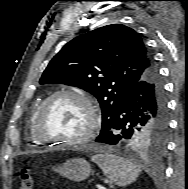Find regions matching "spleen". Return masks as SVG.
<instances>
[{"mask_svg": "<svg viewBox=\"0 0 188 189\" xmlns=\"http://www.w3.org/2000/svg\"><path fill=\"white\" fill-rule=\"evenodd\" d=\"M91 160L101 168L107 178L121 187L133 183L141 172V169L129 160L109 153L96 154Z\"/></svg>", "mask_w": 188, "mask_h": 189, "instance_id": "obj_1", "label": "spleen"}]
</instances>
